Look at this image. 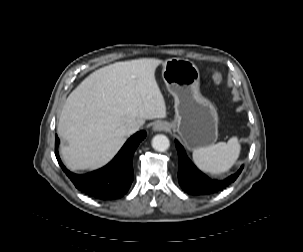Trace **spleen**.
<instances>
[{
    "instance_id": "spleen-1",
    "label": "spleen",
    "mask_w": 303,
    "mask_h": 252,
    "mask_svg": "<svg viewBox=\"0 0 303 252\" xmlns=\"http://www.w3.org/2000/svg\"><path fill=\"white\" fill-rule=\"evenodd\" d=\"M240 150L238 138L232 137L227 143L219 142L195 149L193 161L202 171L218 175L227 172L236 163Z\"/></svg>"
}]
</instances>
